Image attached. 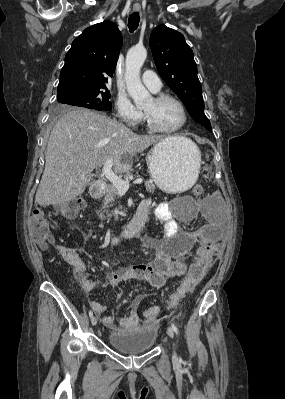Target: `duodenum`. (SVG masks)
Segmentation results:
<instances>
[{
	"instance_id": "410a0bca",
	"label": "duodenum",
	"mask_w": 285,
	"mask_h": 399,
	"mask_svg": "<svg viewBox=\"0 0 285 399\" xmlns=\"http://www.w3.org/2000/svg\"><path fill=\"white\" fill-rule=\"evenodd\" d=\"M105 193V186L100 183L93 184L90 188V194L95 199H100ZM148 211L146 206L140 205L131 221L119 232L113 233L108 237L112 244H118L125 240L139 238L145 225Z\"/></svg>"
}]
</instances>
